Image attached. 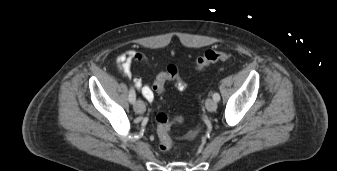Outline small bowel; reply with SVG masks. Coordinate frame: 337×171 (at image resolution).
Instances as JSON below:
<instances>
[{
  "label": "small bowel",
  "instance_id": "c3829d8e",
  "mask_svg": "<svg viewBox=\"0 0 337 171\" xmlns=\"http://www.w3.org/2000/svg\"><path fill=\"white\" fill-rule=\"evenodd\" d=\"M134 63H141L148 69L152 70L153 65L150 63L148 57L141 51L126 50L121 53L116 59V66L118 71L128 79H133L136 89L149 102L155 98L153 85L144 83L140 76H134L132 72V65Z\"/></svg>",
  "mask_w": 337,
  "mask_h": 171
}]
</instances>
